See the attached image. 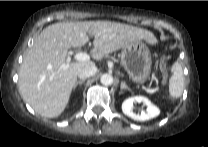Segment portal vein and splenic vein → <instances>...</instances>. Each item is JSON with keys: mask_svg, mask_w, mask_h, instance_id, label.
I'll return each instance as SVG.
<instances>
[{"mask_svg": "<svg viewBox=\"0 0 208 147\" xmlns=\"http://www.w3.org/2000/svg\"><path fill=\"white\" fill-rule=\"evenodd\" d=\"M74 59L77 61H89L90 60V56L84 52H78L77 54L74 55ZM68 61H70L68 59ZM68 64H66L64 67H67ZM147 92H152V90L150 89H145Z\"/></svg>", "mask_w": 208, "mask_h": 147, "instance_id": "obj_1", "label": "portal vein and splenic vein"}]
</instances>
